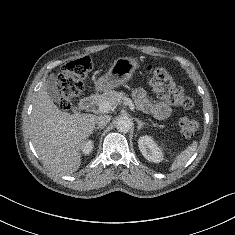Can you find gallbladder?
Instances as JSON below:
<instances>
[{
  "label": "gallbladder",
  "mask_w": 235,
  "mask_h": 235,
  "mask_svg": "<svg viewBox=\"0 0 235 235\" xmlns=\"http://www.w3.org/2000/svg\"><path fill=\"white\" fill-rule=\"evenodd\" d=\"M57 78L54 75H51L48 79H47V92L49 94V96L53 99V100H57L59 98V91L57 89ZM77 108L73 109V111L76 112Z\"/></svg>",
  "instance_id": "obj_1"
}]
</instances>
